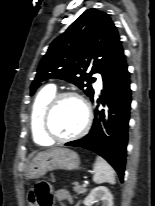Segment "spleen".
Masks as SVG:
<instances>
[{
  "mask_svg": "<svg viewBox=\"0 0 155 206\" xmlns=\"http://www.w3.org/2000/svg\"><path fill=\"white\" fill-rule=\"evenodd\" d=\"M93 181L96 184H115V173L112 167L102 157H97L94 163Z\"/></svg>",
  "mask_w": 155,
  "mask_h": 206,
  "instance_id": "obj_1",
  "label": "spleen"
}]
</instances>
